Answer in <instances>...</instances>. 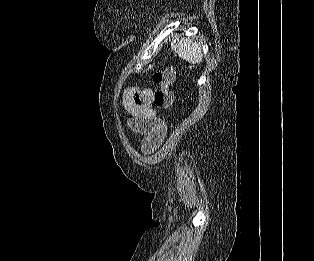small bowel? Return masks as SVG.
I'll use <instances>...</instances> for the list:
<instances>
[{"label":"small bowel","mask_w":314,"mask_h":261,"mask_svg":"<svg viewBox=\"0 0 314 261\" xmlns=\"http://www.w3.org/2000/svg\"><path fill=\"white\" fill-rule=\"evenodd\" d=\"M125 109L131 116V129L144 136L141 149L148 154L156 150L164 141L167 133L166 123L156 116L153 104V90L133 87L123 95Z\"/></svg>","instance_id":"small-bowel-1"}]
</instances>
